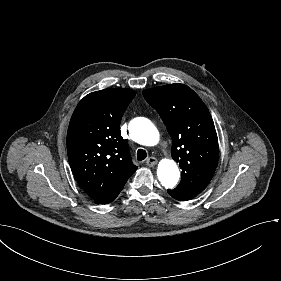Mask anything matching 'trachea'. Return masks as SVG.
Here are the masks:
<instances>
[{
  "label": "trachea",
  "instance_id": "trachea-1",
  "mask_svg": "<svg viewBox=\"0 0 281 281\" xmlns=\"http://www.w3.org/2000/svg\"><path fill=\"white\" fill-rule=\"evenodd\" d=\"M147 157V153L145 150L143 149H139L137 151V160L142 161Z\"/></svg>",
  "mask_w": 281,
  "mask_h": 281
}]
</instances>
